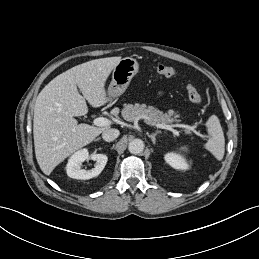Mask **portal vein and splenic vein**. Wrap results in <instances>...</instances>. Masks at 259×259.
Returning <instances> with one entry per match:
<instances>
[{
    "mask_svg": "<svg viewBox=\"0 0 259 259\" xmlns=\"http://www.w3.org/2000/svg\"><path fill=\"white\" fill-rule=\"evenodd\" d=\"M94 125L96 126H108L110 121L107 118L104 117H98L95 118L93 120ZM148 124L152 125V126H156L157 128H161V129H167L172 131L174 134L178 135V131L173 129L171 125H164V124H158V123H154V122H148Z\"/></svg>",
    "mask_w": 259,
    "mask_h": 259,
    "instance_id": "portal-vein-and-splenic-vein-1",
    "label": "portal vein and splenic vein"
}]
</instances>
